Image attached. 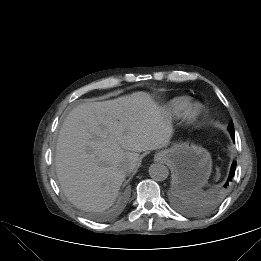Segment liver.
Masks as SVG:
<instances>
[{
    "label": "liver",
    "mask_w": 261,
    "mask_h": 261,
    "mask_svg": "<svg viewBox=\"0 0 261 261\" xmlns=\"http://www.w3.org/2000/svg\"><path fill=\"white\" fill-rule=\"evenodd\" d=\"M171 134L161 107L146 92L78 105L56 144V173L65 195L83 210L107 209L138 165L139 153L166 147Z\"/></svg>",
    "instance_id": "1"
}]
</instances>
